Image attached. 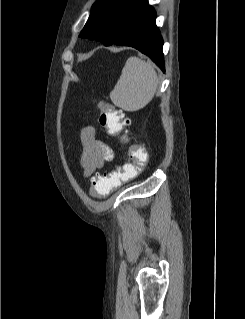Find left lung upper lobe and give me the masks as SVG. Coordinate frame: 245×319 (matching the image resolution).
Here are the masks:
<instances>
[{"label": "left lung upper lobe", "mask_w": 245, "mask_h": 319, "mask_svg": "<svg viewBox=\"0 0 245 319\" xmlns=\"http://www.w3.org/2000/svg\"><path fill=\"white\" fill-rule=\"evenodd\" d=\"M148 0H97L79 37L111 45L130 17Z\"/></svg>", "instance_id": "1"}]
</instances>
